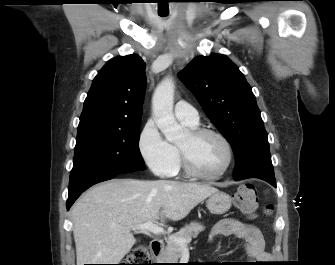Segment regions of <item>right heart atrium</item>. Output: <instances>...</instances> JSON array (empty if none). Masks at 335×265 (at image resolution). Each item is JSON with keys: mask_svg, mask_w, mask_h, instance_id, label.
<instances>
[{"mask_svg": "<svg viewBox=\"0 0 335 265\" xmlns=\"http://www.w3.org/2000/svg\"><path fill=\"white\" fill-rule=\"evenodd\" d=\"M138 149L145 164L157 176H169L177 165L176 147L164 138L152 119L140 132Z\"/></svg>", "mask_w": 335, "mask_h": 265, "instance_id": "right-heart-atrium-1", "label": "right heart atrium"}]
</instances>
